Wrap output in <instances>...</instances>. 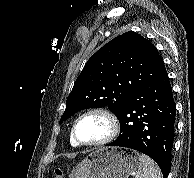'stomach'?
<instances>
[{"label": "stomach", "mask_w": 194, "mask_h": 178, "mask_svg": "<svg viewBox=\"0 0 194 178\" xmlns=\"http://www.w3.org/2000/svg\"><path fill=\"white\" fill-rule=\"evenodd\" d=\"M139 167L137 152L124 147L102 148L90 153L69 178H129Z\"/></svg>", "instance_id": "obj_1"}]
</instances>
